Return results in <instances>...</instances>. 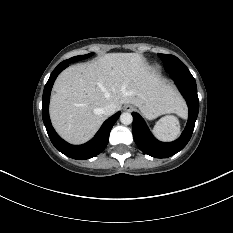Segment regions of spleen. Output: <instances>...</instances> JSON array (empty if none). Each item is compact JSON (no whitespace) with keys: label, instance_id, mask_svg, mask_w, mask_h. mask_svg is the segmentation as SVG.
Masks as SVG:
<instances>
[{"label":"spleen","instance_id":"spleen-1","mask_svg":"<svg viewBox=\"0 0 233 233\" xmlns=\"http://www.w3.org/2000/svg\"><path fill=\"white\" fill-rule=\"evenodd\" d=\"M154 135L161 141L175 140L180 134V122L176 116L161 118L153 128Z\"/></svg>","mask_w":233,"mask_h":233}]
</instances>
